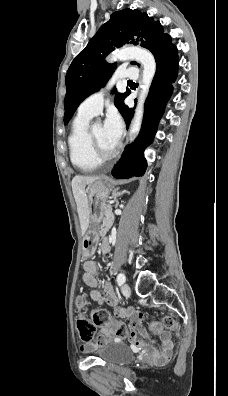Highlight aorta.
I'll return each mask as SVG.
<instances>
[{
  "instance_id": "aorta-1",
  "label": "aorta",
  "mask_w": 228,
  "mask_h": 396,
  "mask_svg": "<svg viewBox=\"0 0 228 396\" xmlns=\"http://www.w3.org/2000/svg\"><path fill=\"white\" fill-rule=\"evenodd\" d=\"M126 60L138 61L143 66L142 80L140 85L141 91L139 93L134 118L132 120L129 131V140L132 142L141 129L144 114V102L155 76L156 62L154 56L148 50L141 47L122 48L112 53L108 58V61L111 63L115 61Z\"/></svg>"
}]
</instances>
